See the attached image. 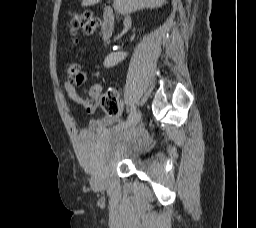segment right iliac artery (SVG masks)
Instances as JSON below:
<instances>
[{
  "instance_id": "obj_1",
  "label": "right iliac artery",
  "mask_w": 256,
  "mask_h": 228,
  "mask_svg": "<svg viewBox=\"0 0 256 228\" xmlns=\"http://www.w3.org/2000/svg\"><path fill=\"white\" fill-rule=\"evenodd\" d=\"M135 113H136L135 107L131 106V111H130V114L127 118V123L134 117Z\"/></svg>"
}]
</instances>
